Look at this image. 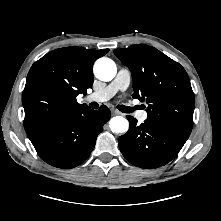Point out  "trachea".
I'll return each mask as SVG.
<instances>
[{"label":"trachea","instance_id":"3493384b","mask_svg":"<svg viewBox=\"0 0 221 221\" xmlns=\"http://www.w3.org/2000/svg\"><path fill=\"white\" fill-rule=\"evenodd\" d=\"M117 108L123 112V113H131L133 112L134 108L132 107H127V106H124V105H118Z\"/></svg>","mask_w":221,"mask_h":221}]
</instances>
